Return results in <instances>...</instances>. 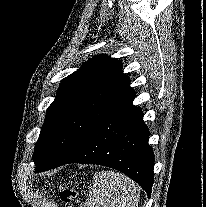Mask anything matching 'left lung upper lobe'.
I'll list each match as a JSON object with an SVG mask.
<instances>
[{"label":"left lung upper lobe","mask_w":206,"mask_h":207,"mask_svg":"<svg viewBox=\"0 0 206 207\" xmlns=\"http://www.w3.org/2000/svg\"><path fill=\"white\" fill-rule=\"evenodd\" d=\"M130 88L122 62L98 55L64 78L47 109L34 150L36 168L66 160L84 142L100 117Z\"/></svg>","instance_id":"obj_1"}]
</instances>
